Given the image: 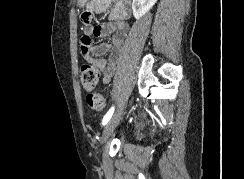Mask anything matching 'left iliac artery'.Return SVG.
<instances>
[{"mask_svg":"<svg viewBox=\"0 0 244 179\" xmlns=\"http://www.w3.org/2000/svg\"><path fill=\"white\" fill-rule=\"evenodd\" d=\"M113 112H114V107H112V108L106 113V115L103 117V120H102V124H103V125L107 124V122H108V121L110 120V118L112 117Z\"/></svg>","mask_w":244,"mask_h":179,"instance_id":"left-iliac-artery-1","label":"left iliac artery"}]
</instances>
